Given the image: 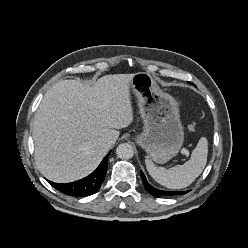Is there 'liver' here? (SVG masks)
I'll use <instances>...</instances> for the list:
<instances>
[{"label":"liver","mask_w":248,"mask_h":248,"mask_svg":"<svg viewBox=\"0 0 248 248\" xmlns=\"http://www.w3.org/2000/svg\"><path fill=\"white\" fill-rule=\"evenodd\" d=\"M134 74L105 75L94 85L61 80L50 88L33 121L35 160L41 174L57 183L81 179L100 164L133 121L130 83Z\"/></svg>","instance_id":"1"}]
</instances>
